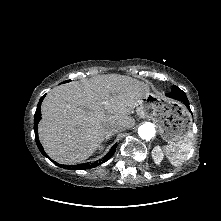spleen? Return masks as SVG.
Here are the masks:
<instances>
[{
    "mask_svg": "<svg viewBox=\"0 0 221 221\" xmlns=\"http://www.w3.org/2000/svg\"><path fill=\"white\" fill-rule=\"evenodd\" d=\"M193 133L190 131L186 136L173 145L164 146V152L172 165H180L192 149Z\"/></svg>",
    "mask_w": 221,
    "mask_h": 221,
    "instance_id": "3e777b00",
    "label": "spleen"
}]
</instances>
